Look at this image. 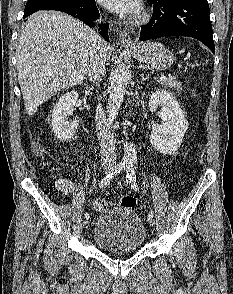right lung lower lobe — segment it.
Listing matches in <instances>:
<instances>
[{"label":"right lung lower lobe","mask_w":233,"mask_h":294,"mask_svg":"<svg viewBox=\"0 0 233 294\" xmlns=\"http://www.w3.org/2000/svg\"><path fill=\"white\" fill-rule=\"evenodd\" d=\"M41 10L61 11L75 18H78L79 20L83 21L85 24L89 26H91L93 21L99 17V12H98L95 0H75L73 2L57 3V4L43 7L39 9L38 11H41ZM30 15L26 17H29ZM100 34L106 41H109L107 24H102Z\"/></svg>","instance_id":"right-lung-lower-lobe-1"}]
</instances>
